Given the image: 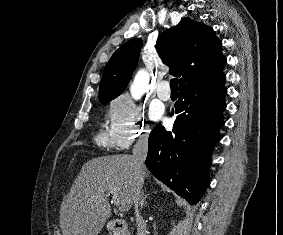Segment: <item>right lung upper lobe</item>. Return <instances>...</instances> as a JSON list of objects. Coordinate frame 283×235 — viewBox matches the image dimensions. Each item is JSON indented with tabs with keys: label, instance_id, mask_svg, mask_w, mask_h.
<instances>
[{
	"label": "right lung upper lobe",
	"instance_id": "cb5924a9",
	"mask_svg": "<svg viewBox=\"0 0 283 235\" xmlns=\"http://www.w3.org/2000/svg\"><path fill=\"white\" fill-rule=\"evenodd\" d=\"M140 39H132L115 51L108 61L99 86L101 102L119 96L126 88L138 62ZM156 48L170 73L180 77L179 87L222 71L226 58L222 43L208 26L188 17L158 37Z\"/></svg>",
	"mask_w": 283,
	"mask_h": 235
}]
</instances>
